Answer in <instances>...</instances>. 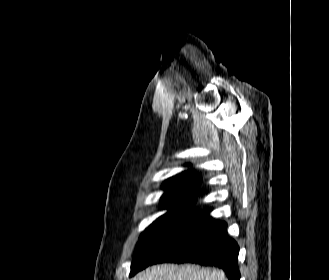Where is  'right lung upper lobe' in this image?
<instances>
[{
	"label": "right lung upper lobe",
	"instance_id": "obj_1",
	"mask_svg": "<svg viewBox=\"0 0 329 280\" xmlns=\"http://www.w3.org/2000/svg\"><path fill=\"white\" fill-rule=\"evenodd\" d=\"M201 178L193 173V169L184 171L164 182L162 188L165 190L162 201L173 198L195 200Z\"/></svg>",
	"mask_w": 329,
	"mask_h": 280
}]
</instances>
